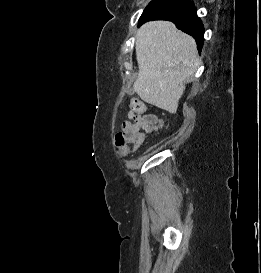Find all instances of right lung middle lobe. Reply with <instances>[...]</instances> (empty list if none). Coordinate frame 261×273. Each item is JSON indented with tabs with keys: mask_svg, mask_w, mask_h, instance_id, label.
<instances>
[{
	"mask_svg": "<svg viewBox=\"0 0 261 273\" xmlns=\"http://www.w3.org/2000/svg\"><path fill=\"white\" fill-rule=\"evenodd\" d=\"M167 2H168L167 0H153L152 2H150V4L145 8L139 21L147 17L160 15L170 10L171 7L168 5Z\"/></svg>",
	"mask_w": 261,
	"mask_h": 273,
	"instance_id": "dd1d6c3e",
	"label": "right lung middle lobe"
}]
</instances>
